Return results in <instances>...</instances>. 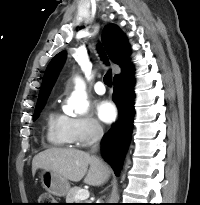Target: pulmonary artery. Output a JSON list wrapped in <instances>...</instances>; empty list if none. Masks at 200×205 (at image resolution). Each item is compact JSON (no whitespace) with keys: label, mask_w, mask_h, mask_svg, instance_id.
<instances>
[{"label":"pulmonary artery","mask_w":200,"mask_h":205,"mask_svg":"<svg viewBox=\"0 0 200 205\" xmlns=\"http://www.w3.org/2000/svg\"><path fill=\"white\" fill-rule=\"evenodd\" d=\"M94 90L99 95H103L106 92V88H105L103 82H101V81H98L95 83Z\"/></svg>","instance_id":"1"}]
</instances>
